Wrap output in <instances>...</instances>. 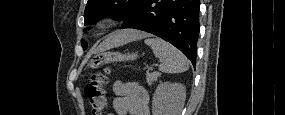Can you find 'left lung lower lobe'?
<instances>
[{"instance_id": "obj_1", "label": "left lung lower lobe", "mask_w": 285, "mask_h": 115, "mask_svg": "<svg viewBox=\"0 0 285 115\" xmlns=\"http://www.w3.org/2000/svg\"><path fill=\"white\" fill-rule=\"evenodd\" d=\"M199 9V0H139L121 28L146 31L170 42L195 66Z\"/></svg>"}]
</instances>
